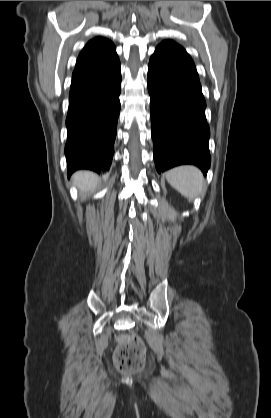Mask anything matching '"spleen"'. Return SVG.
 I'll return each mask as SVG.
<instances>
[{
    "mask_svg": "<svg viewBox=\"0 0 271 418\" xmlns=\"http://www.w3.org/2000/svg\"><path fill=\"white\" fill-rule=\"evenodd\" d=\"M165 176L174 189L190 200L200 196L203 192L204 177L195 166H178L167 171Z\"/></svg>",
    "mask_w": 271,
    "mask_h": 418,
    "instance_id": "spleen-1",
    "label": "spleen"
}]
</instances>
